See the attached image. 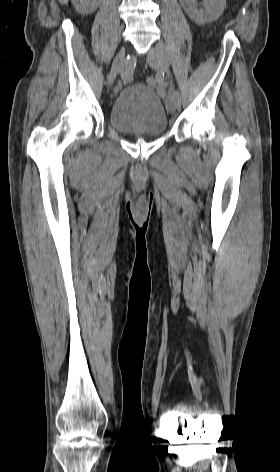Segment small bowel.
Masks as SVG:
<instances>
[{
	"mask_svg": "<svg viewBox=\"0 0 280 472\" xmlns=\"http://www.w3.org/2000/svg\"><path fill=\"white\" fill-rule=\"evenodd\" d=\"M164 87H165L164 85H160L159 88H158L159 94L161 96H165V94H166Z\"/></svg>",
	"mask_w": 280,
	"mask_h": 472,
	"instance_id": "c3829d8e",
	"label": "small bowel"
}]
</instances>
